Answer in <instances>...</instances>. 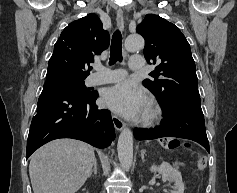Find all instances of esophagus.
Returning a JSON list of instances; mask_svg holds the SVG:
<instances>
[{"mask_svg": "<svg viewBox=\"0 0 237 193\" xmlns=\"http://www.w3.org/2000/svg\"><path fill=\"white\" fill-rule=\"evenodd\" d=\"M116 21H117V25L119 29L123 31L124 30V16H123V11L121 9H118L117 11ZM112 121L116 130L118 131H121L125 127V123L116 115L112 116Z\"/></svg>", "mask_w": 237, "mask_h": 193, "instance_id": "34e87169", "label": "esophagus"}]
</instances>
